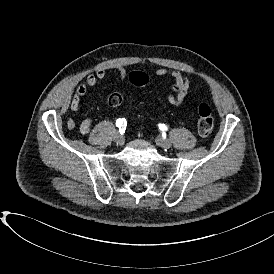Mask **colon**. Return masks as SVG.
Segmentation results:
<instances>
[{"mask_svg": "<svg viewBox=\"0 0 274 274\" xmlns=\"http://www.w3.org/2000/svg\"><path fill=\"white\" fill-rule=\"evenodd\" d=\"M129 80L132 84L137 87L144 86L148 81V76L141 71H132L129 74ZM123 96L120 92H115L108 98V103L112 107H118L122 103ZM195 100L199 101V98L195 96ZM75 125V120L70 118L67 122L69 129L73 128ZM198 131L201 134H209L213 128V116L211 109L208 104L200 103L198 106V122H197Z\"/></svg>", "mask_w": 274, "mask_h": 274, "instance_id": "colon-1", "label": "colon"}]
</instances>
